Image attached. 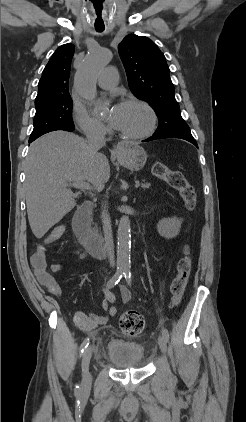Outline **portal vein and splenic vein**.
<instances>
[{"label":"portal vein and splenic vein","instance_id":"portal-vein-and-splenic-vein-1","mask_svg":"<svg viewBox=\"0 0 246 422\" xmlns=\"http://www.w3.org/2000/svg\"><path fill=\"white\" fill-rule=\"evenodd\" d=\"M70 185L81 190L91 191L93 189L92 186L88 182H85V181L70 183ZM139 186L140 184L137 182L135 184V187L138 188Z\"/></svg>","mask_w":246,"mask_h":422}]
</instances>
